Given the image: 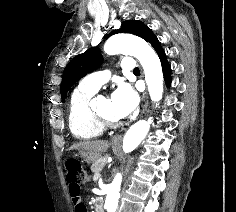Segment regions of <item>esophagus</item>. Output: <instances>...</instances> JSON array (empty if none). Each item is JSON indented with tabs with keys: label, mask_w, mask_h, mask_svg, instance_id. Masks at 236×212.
Returning <instances> with one entry per match:
<instances>
[{
	"label": "esophagus",
	"mask_w": 236,
	"mask_h": 212,
	"mask_svg": "<svg viewBox=\"0 0 236 212\" xmlns=\"http://www.w3.org/2000/svg\"><path fill=\"white\" fill-rule=\"evenodd\" d=\"M147 106H148V100H147V97L144 95L143 112L146 110ZM121 138H122L121 135H115V136L112 138V142H113V143L120 142V141H121Z\"/></svg>",
	"instance_id": "1"
}]
</instances>
